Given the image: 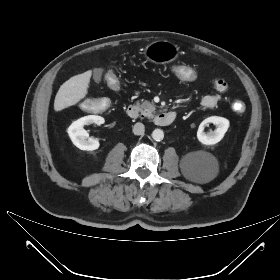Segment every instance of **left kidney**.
I'll return each instance as SVG.
<instances>
[{"mask_svg":"<svg viewBox=\"0 0 280 280\" xmlns=\"http://www.w3.org/2000/svg\"><path fill=\"white\" fill-rule=\"evenodd\" d=\"M208 123L217 125V129L209 133L204 132V126ZM229 128V120L219 116H211L201 122L197 131L199 142L204 145H214L222 140Z\"/></svg>","mask_w":280,"mask_h":280,"instance_id":"5707ae66","label":"left kidney"}]
</instances>
